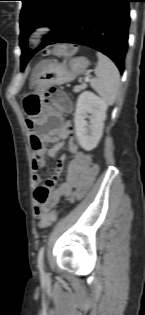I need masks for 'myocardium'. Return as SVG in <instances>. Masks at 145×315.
<instances>
[{
  "label": "myocardium",
  "mask_w": 145,
  "mask_h": 315,
  "mask_svg": "<svg viewBox=\"0 0 145 315\" xmlns=\"http://www.w3.org/2000/svg\"><path fill=\"white\" fill-rule=\"evenodd\" d=\"M51 31V27L47 24L36 26L29 35V42L37 44L41 42Z\"/></svg>",
  "instance_id": "myocardium-1"
}]
</instances>
